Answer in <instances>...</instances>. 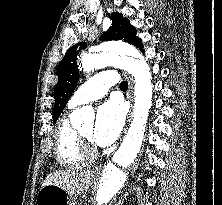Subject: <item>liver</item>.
Wrapping results in <instances>:
<instances>
[{"label":"liver","instance_id":"obj_1","mask_svg":"<svg viewBox=\"0 0 222 205\" xmlns=\"http://www.w3.org/2000/svg\"><path fill=\"white\" fill-rule=\"evenodd\" d=\"M92 177V171L90 170H59L47 175L42 186L54 184L66 190L71 196H77L89 190Z\"/></svg>","mask_w":222,"mask_h":205}]
</instances>
